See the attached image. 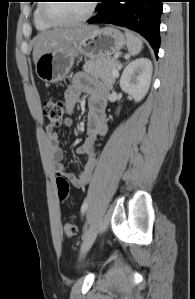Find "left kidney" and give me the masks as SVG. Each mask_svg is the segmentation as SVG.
Instances as JSON below:
<instances>
[{
	"mask_svg": "<svg viewBox=\"0 0 195 299\" xmlns=\"http://www.w3.org/2000/svg\"><path fill=\"white\" fill-rule=\"evenodd\" d=\"M152 76V63L147 58H139L129 63L120 78V87L140 102L147 94Z\"/></svg>",
	"mask_w": 195,
	"mask_h": 299,
	"instance_id": "left-kidney-1",
	"label": "left kidney"
}]
</instances>
